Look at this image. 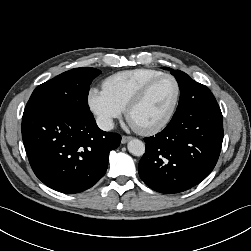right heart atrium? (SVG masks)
<instances>
[{"instance_id":"1","label":"right heart atrium","mask_w":251,"mask_h":251,"mask_svg":"<svg viewBox=\"0 0 251 251\" xmlns=\"http://www.w3.org/2000/svg\"><path fill=\"white\" fill-rule=\"evenodd\" d=\"M87 100L98 125L106 130L113 127L114 120L119 118L124 110L104 89L91 88Z\"/></svg>"}]
</instances>
